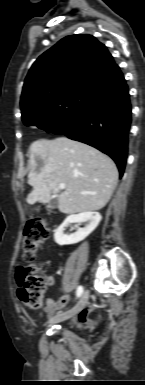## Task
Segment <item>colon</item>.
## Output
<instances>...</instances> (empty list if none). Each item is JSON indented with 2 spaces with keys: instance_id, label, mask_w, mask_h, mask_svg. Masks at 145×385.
I'll return each mask as SVG.
<instances>
[{
  "instance_id": "obj_1",
  "label": "colon",
  "mask_w": 145,
  "mask_h": 385,
  "mask_svg": "<svg viewBox=\"0 0 145 385\" xmlns=\"http://www.w3.org/2000/svg\"><path fill=\"white\" fill-rule=\"evenodd\" d=\"M48 235V226L42 219L37 218L28 222L21 243L23 258L26 262L32 263L35 260L38 246L47 239ZM16 283L20 301L31 309L41 308L44 295L50 285L48 277L41 269L34 264L18 268Z\"/></svg>"
}]
</instances>
